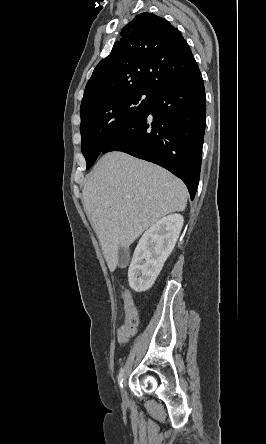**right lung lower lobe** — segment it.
I'll return each mask as SVG.
<instances>
[{"label":"right lung lower lobe","instance_id":"right-lung-lower-lobe-1","mask_svg":"<svg viewBox=\"0 0 266 444\" xmlns=\"http://www.w3.org/2000/svg\"><path fill=\"white\" fill-rule=\"evenodd\" d=\"M205 89L199 68L153 94L147 113L117 134L102 153L122 151L178 176L194 199L205 132Z\"/></svg>","mask_w":266,"mask_h":444}]
</instances>
